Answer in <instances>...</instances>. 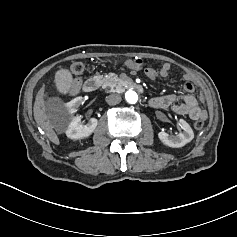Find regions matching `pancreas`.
Instances as JSON below:
<instances>
[{
  "instance_id": "pancreas-1",
  "label": "pancreas",
  "mask_w": 237,
  "mask_h": 237,
  "mask_svg": "<svg viewBox=\"0 0 237 237\" xmlns=\"http://www.w3.org/2000/svg\"><path fill=\"white\" fill-rule=\"evenodd\" d=\"M103 82L105 83V85L103 86L104 89L111 91L112 89H115L117 87L121 80L115 73H109L107 76L103 77Z\"/></svg>"
}]
</instances>
